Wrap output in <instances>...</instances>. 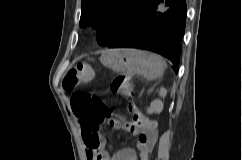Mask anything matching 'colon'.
<instances>
[{
	"label": "colon",
	"instance_id": "5ec220e1",
	"mask_svg": "<svg viewBox=\"0 0 242 160\" xmlns=\"http://www.w3.org/2000/svg\"><path fill=\"white\" fill-rule=\"evenodd\" d=\"M92 68L85 63L73 66L63 79V88L67 92H73L71 98V108L73 113L80 118L82 126L91 134L87 137L89 146L96 142L95 135L98 134L100 124L110 116L109 107L97 96L91 95L76 89L93 79ZM110 90L114 94L124 97L130 96L132 92L131 80L129 76L119 75L111 82ZM129 112L134 115L141 111L133 104H129Z\"/></svg>",
	"mask_w": 242,
	"mask_h": 160
}]
</instances>
